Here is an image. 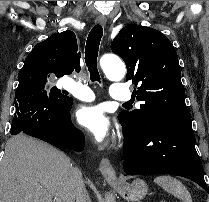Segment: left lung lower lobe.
Instances as JSON below:
<instances>
[{
  "instance_id": "1",
  "label": "left lung lower lobe",
  "mask_w": 209,
  "mask_h": 202,
  "mask_svg": "<svg viewBox=\"0 0 209 202\" xmlns=\"http://www.w3.org/2000/svg\"><path fill=\"white\" fill-rule=\"evenodd\" d=\"M122 127L126 174L182 176L209 193L202 163L195 149L191 118L153 114L140 129H132L125 124Z\"/></svg>"
}]
</instances>
